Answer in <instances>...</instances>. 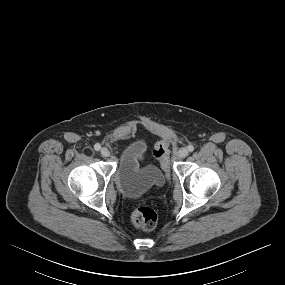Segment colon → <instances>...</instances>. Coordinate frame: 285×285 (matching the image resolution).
Instances as JSON below:
<instances>
[{
  "mask_svg": "<svg viewBox=\"0 0 285 285\" xmlns=\"http://www.w3.org/2000/svg\"><path fill=\"white\" fill-rule=\"evenodd\" d=\"M153 155L160 161L165 172H169L168 143L161 142L153 151ZM131 220L135 227L142 230H151L156 226L157 214L148 205H140L131 214Z\"/></svg>",
  "mask_w": 285,
  "mask_h": 285,
  "instance_id": "1",
  "label": "colon"
}]
</instances>
